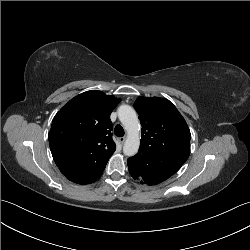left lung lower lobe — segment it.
I'll use <instances>...</instances> for the list:
<instances>
[{"instance_id": "left-lung-lower-lobe-1", "label": "left lung lower lobe", "mask_w": 250, "mask_h": 250, "mask_svg": "<svg viewBox=\"0 0 250 250\" xmlns=\"http://www.w3.org/2000/svg\"><path fill=\"white\" fill-rule=\"evenodd\" d=\"M128 169L135 180L148 185L161 183L177 172L172 168L154 164L147 156L140 153L128 159Z\"/></svg>"}]
</instances>
